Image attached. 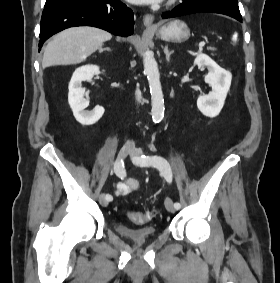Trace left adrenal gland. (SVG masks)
<instances>
[{
  "instance_id": "1",
  "label": "left adrenal gland",
  "mask_w": 280,
  "mask_h": 283,
  "mask_svg": "<svg viewBox=\"0 0 280 283\" xmlns=\"http://www.w3.org/2000/svg\"><path fill=\"white\" fill-rule=\"evenodd\" d=\"M164 53H165V56H166V61H170V56L171 54L173 53V51H169L168 47H164Z\"/></svg>"
}]
</instances>
